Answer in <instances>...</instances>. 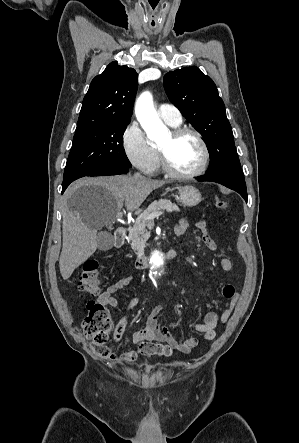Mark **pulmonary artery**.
<instances>
[{
  "label": "pulmonary artery",
  "mask_w": 299,
  "mask_h": 443,
  "mask_svg": "<svg viewBox=\"0 0 299 443\" xmlns=\"http://www.w3.org/2000/svg\"><path fill=\"white\" fill-rule=\"evenodd\" d=\"M159 116L167 123L172 125H180L182 116L177 107L170 104H161L158 107Z\"/></svg>",
  "instance_id": "obj_1"
}]
</instances>
